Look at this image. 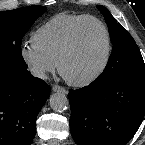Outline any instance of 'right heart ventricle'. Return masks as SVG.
<instances>
[{
  "label": "right heart ventricle",
  "instance_id": "1",
  "mask_svg": "<svg viewBox=\"0 0 145 145\" xmlns=\"http://www.w3.org/2000/svg\"><path fill=\"white\" fill-rule=\"evenodd\" d=\"M84 16L69 13L54 15L33 33L32 43L56 63L72 28Z\"/></svg>",
  "mask_w": 145,
  "mask_h": 145
}]
</instances>
